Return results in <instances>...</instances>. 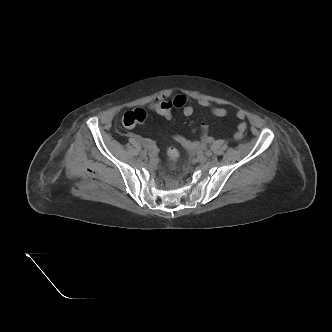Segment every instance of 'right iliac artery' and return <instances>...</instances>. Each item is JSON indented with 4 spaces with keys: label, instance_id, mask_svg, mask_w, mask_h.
I'll return each instance as SVG.
<instances>
[{
    "label": "right iliac artery",
    "instance_id": "obj_1",
    "mask_svg": "<svg viewBox=\"0 0 332 332\" xmlns=\"http://www.w3.org/2000/svg\"><path fill=\"white\" fill-rule=\"evenodd\" d=\"M142 147H143L144 149H151V148H152L151 144H149V143H147V142H143V143H142Z\"/></svg>",
    "mask_w": 332,
    "mask_h": 332
}]
</instances>
